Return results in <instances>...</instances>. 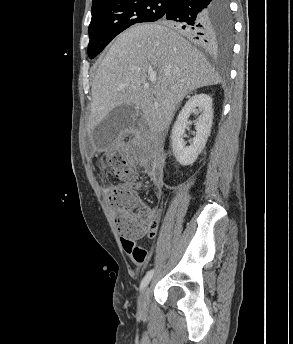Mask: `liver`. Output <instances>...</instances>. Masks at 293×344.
Wrapping results in <instances>:
<instances>
[{
  "label": "liver",
  "instance_id": "6515ba94",
  "mask_svg": "<svg viewBox=\"0 0 293 344\" xmlns=\"http://www.w3.org/2000/svg\"><path fill=\"white\" fill-rule=\"evenodd\" d=\"M151 73L155 82L147 87ZM220 81L202 53L173 28L135 25L115 39L97 69L88 127L93 130L117 106L133 105L161 133L188 93Z\"/></svg>",
  "mask_w": 293,
  "mask_h": 344
}]
</instances>
